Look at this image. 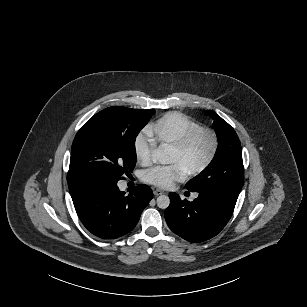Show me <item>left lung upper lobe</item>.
<instances>
[{"label":"left lung upper lobe","instance_id":"obj_1","mask_svg":"<svg viewBox=\"0 0 307 307\" xmlns=\"http://www.w3.org/2000/svg\"><path fill=\"white\" fill-rule=\"evenodd\" d=\"M218 138V148L211 163L186 188L192 192L219 193L237 200L244 183L242 149L234 129L210 111Z\"/></svg>","mask_w":307,"mask_h":307}]
</instances>
